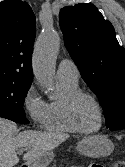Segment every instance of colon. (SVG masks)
<instances>
[{"label": "colon", "mask_w": 125, "mask_h": 167, "mask_svg": "<svg viewBox=\"0 0 125 167\" xmlns=\"http://www.w3.org/2000/svg\"><path fill=\"white\" fill-rule=\"evenodd\" d=\"M115 167H125V160L116 161Z\"/></svg>", "instance_id": "1"}]
</instances>
